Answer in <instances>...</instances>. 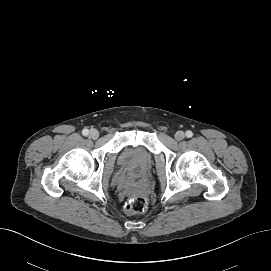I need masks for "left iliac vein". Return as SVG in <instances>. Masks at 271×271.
Masks as SVG:
<instances>
[{
    "instance_id": "4c4485c4",
    "label": "left iliac vein",
    "mask_w": 271,
    "mask_h": 271,
    "mask_svg": "<svg viewBox=\"0 0 271 271\" xmlns=\"http://www.w3.org/2000/svg\"><path fill=\"white\" fill-rule=\"evenodd\" d=\"M185 138V133L183 132V131H177L176 133H175V139L177 140V141H181V140H183Z\"/></svg>"
}]
</instances>
